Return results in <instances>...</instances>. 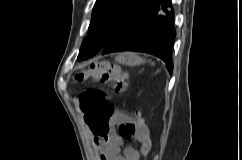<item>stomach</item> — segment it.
<instances>
[{
    "instance_id": "obj_1",
    "label": "stomach",
    "mask_w": 242,
    "mask_h": 160,
    "mask_svg": "<svg viewBox=\"0 0 242 160\" xmlns=\"http://www.w3.org/2000/svg\"><path fill=\"white\" fill-rule=\"evenodd\" d=\"M116 61L124 65H139L144 62V60L134 53H123L116 57Z\"/></svg>"
}]
</instances>
